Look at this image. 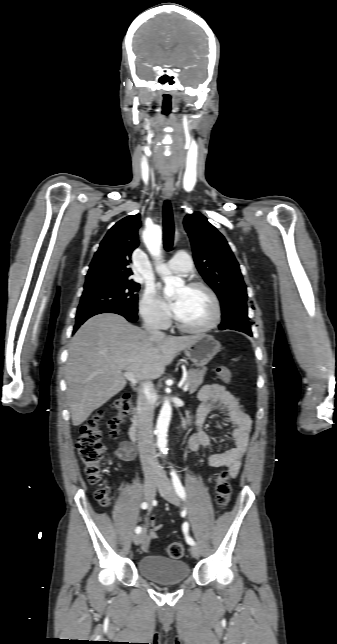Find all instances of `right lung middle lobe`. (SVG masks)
Wrapping results in <instances>:
<instances>
[{"label":"right lung middle lobe","instance_id":"obj_1","mask_svg":"<svg viewBox=\"0 0 337 644\" xmlns=\"http://www.w3.org/2000/svg\"><path fill=\"white\" fill-rule=\"evenodd\" d=\"M139 284L132 280L98 279L85 282L76 319L104 310L138 311Z\"/></svg>","mask_w":337,"mask_h":644}]
</instances>
